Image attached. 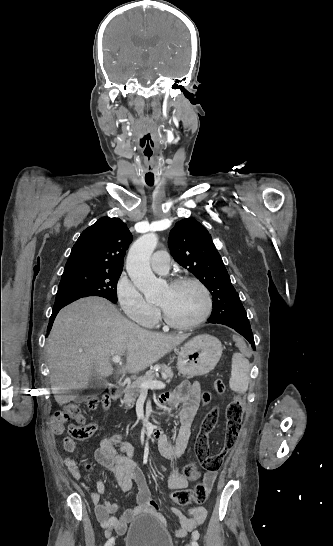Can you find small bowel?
<instances>
[{
	"instance_id": "1",
	"label": "small bowel",
	"mask_w": 333,
	"mask_h": 546,
	"mask_svg": "<svg viewBox=\"0 0 333 546\" xmlns=\"http://www.w3.org/2000/svg\"><path fill=\"white\" fill-rule=\"evenodd\" d=\"M232 338L235 341V347L240 349L242 355L247 356L250 354L251 349L246 345L245 340L242 339L243 335L241 332H234ZM160 402L162 405L169 407L183 405L179 414L181 426L175 442H171L163 433L159 434L157 442L161 455L171 462L169 473L166 476L167 486L171 489L185 488L189 480L195 481L201 477V473L198 472L196 475L188 478L179 471L175 464L188 446L192 425L201 404V387L197 382H182L174 391L163 394ZM74 418L79 422L84 421L82 414L74 416ZM62 444L64 450L68 453H73L77 450L76 442L69 437L63 438ZM133 454L132 445L124 441L121 435L104 437L94 453L96 461L113 474L122 491L129 492L134 485L137 487L136 504L118 517L113 516L118 506L102 498L104 491V483L102 481L97 483L95 491H90V499L95 506L96 518L105 529L106 534L113 531L123 533L130 521L144 513H151L164 526L167 527L168 525L158 504L151 498L145 476L140 467L133 461ZM85 460V456L81 459H74L69 456L64 457L67 469L76 480L81 479L80 465ZM215 479L216 472L207 471L203 474L202 483L208 492L213 487ZM170 511L177 516L180 523L179 527L174 530V534L178 537L192 532L205 521L207 516V511L201 506L190 509L188 516L173 507L170 508ZM193 533L194 536H197L196 531H193Z\"/></svg>"
}]
</instances>
